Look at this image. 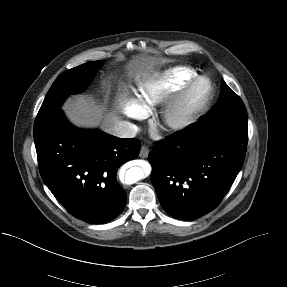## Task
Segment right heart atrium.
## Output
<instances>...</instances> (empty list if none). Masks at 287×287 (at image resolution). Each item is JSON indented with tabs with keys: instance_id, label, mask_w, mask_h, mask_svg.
Here are the masks:
<instances>
[{
	"instance_id": "1",
	"label": "right heart atrium",
	"mask_w": 287,
	"mask_h": 287,
	"mask_svg": "<svg viewBox=\"0 0 287 287\" xmlns=\"http://www.w3.org/2000/svg\"><path fill=\"white\" fill-rule=\"evenodd\" d=\"M121 112L124 116L131 119L139 118L143 113L133 98H130L122 103Z\"/></svg>"
}]
</instances>
